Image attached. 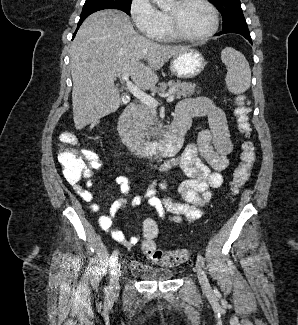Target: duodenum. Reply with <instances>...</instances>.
I'll return each mask as SVG.
<instances>
[{"mask_svg":"<svg viewBox=\"0 0 298 325\" xmlns=\"http://www.w3.org/2000/svg\"><path fill=\"white\" fill-rule=\"evenodd\" d=\"M137 110L136 103H130L119 117L117 129L125 146L135 155L145 157H170L175 155L183 143L191 120L202 114L201 109L194 103L181 102L178 104L174 120L167 134L158 141L140 139L130 128V120Z\"/></svg>","mask_w":298,"mask_h":325,"instance_id":"duodenum-1","label":"duodenum"}]
</instances>
